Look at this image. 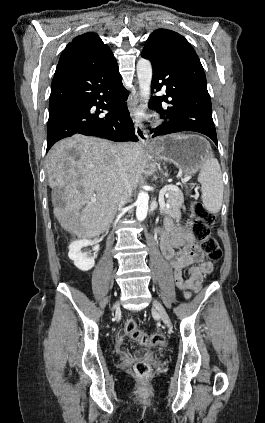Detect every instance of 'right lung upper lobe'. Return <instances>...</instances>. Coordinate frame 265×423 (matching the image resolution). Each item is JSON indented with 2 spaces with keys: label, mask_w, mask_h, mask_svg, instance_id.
Returning a JSON list of instances; mask_svg holds the SVG:
<instances>
[{
  "label": "right lung upper lobe",
  "mask_w": 265,
  "mask_h": 423,
  "mask_svg": "<svg viewBox=\"0 0 265 423\" xmlns=\"http://www.w3.org/2000/svg\"><path fill=\"white\" fill-rule=\"evenodd\" d=\"M109 47L97 34L89 32L75 37L62 52L54 76L84 68H108L116 64Z\"/></svg>",
  "instance_id": "right-lung-upper-lobe-1"
}]
</instances>
